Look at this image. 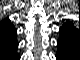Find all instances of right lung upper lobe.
<instances>
[{
    "label": "right lung upper lobe",
    "mask_w": 80,
    "mask_h": 60,
    "mask_svg": "<svg viewBox=\"0 0 80 60\" xmlns=\"http://www.w3.org/2000/svg\"><path fill=\"white\" fill-rule=\"evenodd\" d=\"M6 32H5V36L7 37V39H5L4 41V46H7V43H10L11 45H16V30L13 27L12 24L7 23L6 24Z\"/></svg>",
    "instance_id": "cb5924a9"
}]
</instances>
